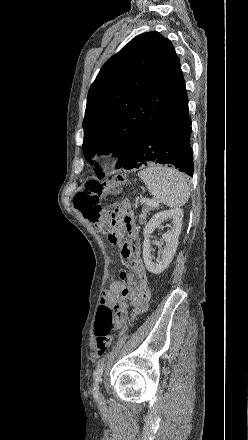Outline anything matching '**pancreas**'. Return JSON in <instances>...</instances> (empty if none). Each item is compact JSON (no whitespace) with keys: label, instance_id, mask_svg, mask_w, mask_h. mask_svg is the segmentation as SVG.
<instances>
[{"label":"pancreas","instance_id":"pancreas-1","mask_svg":"<svg viewBox=\"0 0 248 440\" xmlns=\"http://www.w3.org/2000/svg\"><path fill=\"white\" fill-rule=\"evenodd\" d=\"M157 206H153V205H146L145 207L142 208V213L139 216V223H144L146 220V216L149 213V211H153L156 209Z\"/></svg>","mask_w":248,"mask_h":440}]
</instances>
